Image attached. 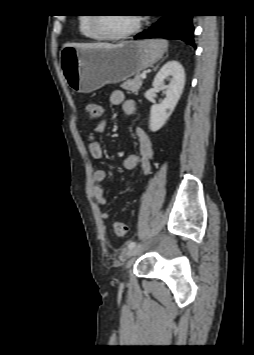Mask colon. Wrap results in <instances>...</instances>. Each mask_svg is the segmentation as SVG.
Returning <instances> with one entry per match:
<instances>
[{"instance_id": "obj_1", "label": "colon", "mask_w": 254, "mask_h": 355, "mask_svg": "<svg viewBox=\"0 0 254 355\" xmlns=\"http://www.w3.org/2000/svg\"><path fill=\"white\" fill-rule=\"evenodd\" d=\"M84 110L91 121L97 120L102 113V107L98 103H86L84 104ZM114 233L123 237L128 233V227L124 222L116 221L113 224Z\"/></svg>"}]
</instances>
